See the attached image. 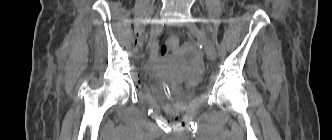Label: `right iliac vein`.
<instances>
[{
	"label": "right iliac vein",
	"instance_id": "right-iliac-vein-1",
	"mask_svg": "<svg viewBox=\"0 0 332 140\" xmlns=\"http://www.w3.org/2000/svg\"><path fill=\"white\" fill-rule=\"evenodd\" d=\"M158 13L155 15V17L152 19V24L155 25L158 22Z\"/></svg>",
	"mask_w": 332,
	"mask_h": 140
}]
</instances>
